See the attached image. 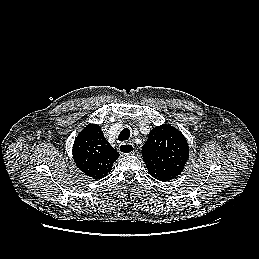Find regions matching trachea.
<instances>
[{
    "label": "trachea",
    "instance_id": "1",
    "mask_svg": "<svg viewBox=\"0 0 259 259\" xmlns=\"http://www.w3.org/2000/svg\"><path fill=\"white\" fill-rule=\"evenodd\" d=\"M129 137H130V130H129L128 128H124V129L120 132V134H119V136H118V140H119V141H126V140L129 139Z\"/></svg>",
    "mask_w": 259,
    "mask_h": 259
}]
</instances>
